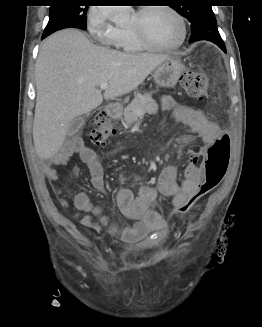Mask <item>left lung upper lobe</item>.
Wrapping results in <instances>:
<instances>
[{"mask_svg":"<svg viewBox=\"0 0 262 327\" xmlns=\"http://www.w3.org/2000/svg\"><path fill=\"white\" fill-rule=\"evenodd\" d=\"M203 4L197 5H173V8L182 16H184L191 23V30L196 28H205L212 26L216 22L212 6L206 4V1H201Z\"/></svg>","mask_w":262,"mask_h":327,"instance_id":"left-lung-upper-lobe-1","label":"left lung upper lobe"}]
</instances>
